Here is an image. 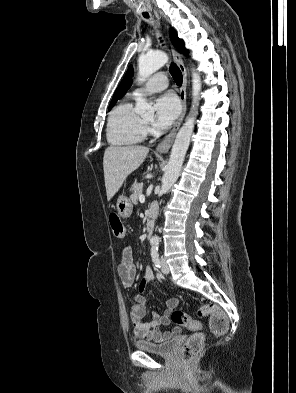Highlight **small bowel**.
Here are the masks:
<instances>
[{
  "label": "small bowel",
  "instance_id": "obj_1",
  "mask_svg": "<svg viewBox=\"0 0 296 393\" xmlns=\"http://www.w3.org/2000/svg\"><path fill=\"white\" fill-rule=\"evenodd\" d=\"M117 273L126 288H131L135 278V264L131 247H125L122 252V258L117 265ZM150 283L161 286L156 279L154 271L146 268L144 276L139 283V291L134 293V302L130 307L129 316L133 327V334L138 339L148 340L152 342H160L180 333V328L174 326L172 332H162L161 326L170 325V314L178 306L179 300L171 298L166 301V309L162 314L157 311L152 312V318L148 322H143V318L147 312V300L144 296L146 286Z\"/></svg>",
  "mask_w": 296,
  "mask_h": 393
}]
</instances>
